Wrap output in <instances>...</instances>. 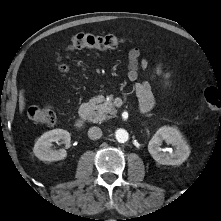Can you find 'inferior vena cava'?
I'll return each instance as SVG.
<instances>
[{
    "instance_id": "1",
    "label": "inferior vena cava",
    "mask_w": 221,
    "mask_h": 221,
    "mask_svg": "<svg viewBox=\"0 0 221 221\" xmlns=\"http://www.w3.org/2000/svg\"><path fill=\"white\" fill-rule=\"evenodd\" d=\"M88 136L92 140H97L102 137V130L99 127H91L88 130Z\"/></svg>"
}]
</instances>
